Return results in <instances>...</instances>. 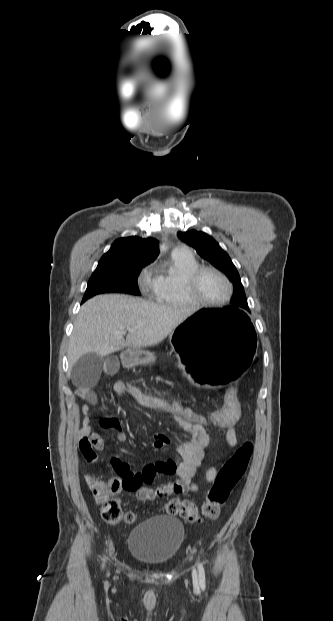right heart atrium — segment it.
Listing matches in <instances>:
<instances>
[{"label":"right heart atrium","instance_id":"d8ad5b80","mask_svg":"<svg viewBox=\"0 0 333 621\" xmlns=\"http://www.w3.org/2000/svg\"><path fill=\"white\" fill-rule=\"evenodd\" d=\"M147 285L153 286V281L150 280L149 272L145 271L140 277V286L145 288Z\"/></svg>","mask_w":333,"mask_h":621}]
</instances>
